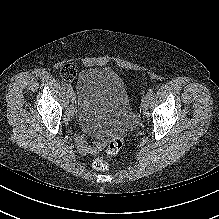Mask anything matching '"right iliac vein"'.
I'll return each mask as SVG.
<instances>
[{
    "label": "right iliac vein",
    "instance_id": "right-iliac-vein-1",
    "mask_svg": "<svg viewBox=\"0 0 219 219\" xmlns=\"http://www.w3.org/2000/svg\"><path fill=\"white\" fill-rule=\"evenodd\" d=\"M69 96H70L71 102L74 103L75 102V94L72 90L69 91Z\"/></svg>",
    "mask_w": 219,
    "mask_h": 219
}]
</instances>
